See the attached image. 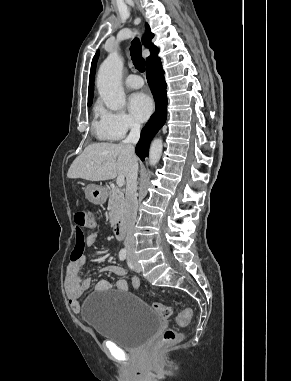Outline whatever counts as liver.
<instances>
[{
    "instance_id": "obj_1",
    "label": "liver",
    "mask_w": 291,
    "mask_h": 381,
    "mask_svg": "<svg viewBox=\"0 0 291 381\" xmlns=\"http://www.w3.org/2000/svg\"><path fill=\"white\" fill-rule=\"evenodd\" d=\"M132 162V154L122 143H93L73 161L67 177L89 181L127 178Z\"/></svg>"
}]
</instances>
